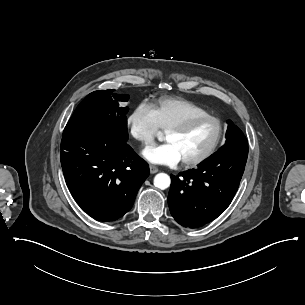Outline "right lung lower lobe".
Wrapping results in <instances>:
<instances>
[{
  "instance_id": "98d812e1",
  "label": "right lung lower lobe",
  "mask_w": 305,
  "mask_h": 305,
  "mask_svg": "<svg viewBox=\"0 0 305 305\" xmlns=\"http://www.w3.org/2000/svg\"><path fill=\"white\" fill-rule=\"evenodd\" d=\"M61 165L78 205L100 221L127 213L149 175L148 165L125 142L94 137L61 141Z\"/></svg>"
}]
</instances>
